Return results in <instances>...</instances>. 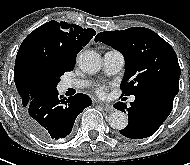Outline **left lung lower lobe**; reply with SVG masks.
I'll return each instance as SVG.
<instances>
[{"instance_id":"1","label":"left lung lower lobe","mask_w":190,"mask_h":165,"mask_svg":"<svg viewBox=\"0 0 190 165\" xmlns=\"http://www.w3.org/2000/svg\"><path fill=\"white\" fill-rule=\"evenodd\" d=\"M175 95L163 91H149L135 95L130 107L117 102L114 107L128 112L129 123L120 133L132 139L146 138L154 134L169 116Z\"/></svg>"}]
</instances>
